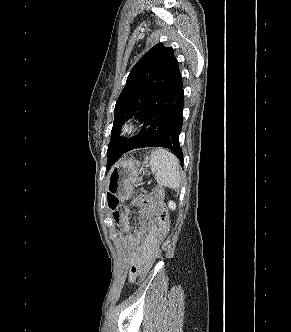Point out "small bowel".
<instances>
[{"label": "small bowel", "instance_id": "obj_1", "mask_svg": "<svg viewBox=\"0 0 291 332\" xmlns=\"http://www.w3.org/2000/svg\"><path fill=\"white\" fill-rule=\"evenodd\" d=\"M123 231L128 233V241L135 248L134 266L142 264L148 259L156 247L160 237L159 225L139 227L133 229L128 222L122 224Z\"/></svg>", "mask_w": 291, "mask_h": 332}]
</instances>
